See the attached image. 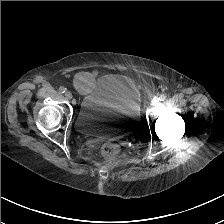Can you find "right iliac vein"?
Here are the masks:
<instances>
[{"label": "right iliac vein", "instance_id": "obj_1", "mask_svg": "<svg viewBox=\"0 0 224 224\" xmlns=\"http://www.w3.org/2000/svg\"><path fill=\"white\" fill-rule=\"evenodd\" d=\"M65 98L67 100H71L72 99V93L70 91L65 92Z\"/></svg>", "mask_w": 224, "mask_h": 224}]
</instances>
